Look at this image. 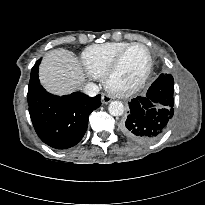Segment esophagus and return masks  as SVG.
<instances>
[{
	"instance_id": "obj_1",
	"label": "esophagus",
	"mask_w": 205,
	"mask_h": 205,
	"mask_svg": "<svg viewBox=\"0 0 205 205\" xmlns=\"http://www.w3.org/2000/svg\"><path fill=\"white\" fill-rule=\"evenodd\" d=\"M110 101H111V97L109 95L102 94V102L104 104H108Z\"/></svg>"
}]
</instances>
